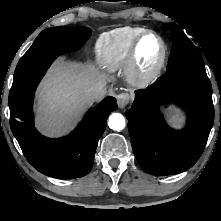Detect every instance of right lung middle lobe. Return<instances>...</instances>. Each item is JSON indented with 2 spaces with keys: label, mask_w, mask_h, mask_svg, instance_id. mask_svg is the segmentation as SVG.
<instances>
[{
  "label": "right lung middle lobe",
  "mask_w": 221,
  "mask_h": 221,
  "mask_svg": "<svg viewBox=\"0 0 221 221\" xmlns=\"http://www.w3.org/2000/svg\"><path fill=\"white\" fill-rule=\"evenodd\" d=\"M87 27H54L42 31L19 60L9 92V106L33 94L53 60L81 48L90 38Z\"/></svg>",
  "instance_id": "dd1d6c3e"
}]
</instances>
